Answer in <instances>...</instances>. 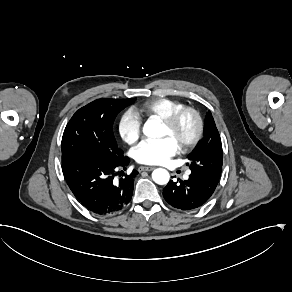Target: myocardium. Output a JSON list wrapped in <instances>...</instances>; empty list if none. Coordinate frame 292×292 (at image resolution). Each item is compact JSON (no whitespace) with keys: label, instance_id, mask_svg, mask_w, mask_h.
I'll return each instance as SVG.
<instances>
[{"label":"myocardium","instance_id":"f54148a6","mask_svg":"<svg viewBox=\"0 0 292 292\" xmlns=\"http://www.w3.org/2000/svg\"><path fill=\"white\" fill-rule=\"evenodd\" d=\"M185 116H190L193 119V131L187 138H177V142L183 149H188L195 146L201 139L203 132V120L200 113L195 108L182 106L162 120L163 123L169 128L170 136L176 138L179 125Z\"/></svg>","mask_w":292,"mask_h":292}]
</instances>
